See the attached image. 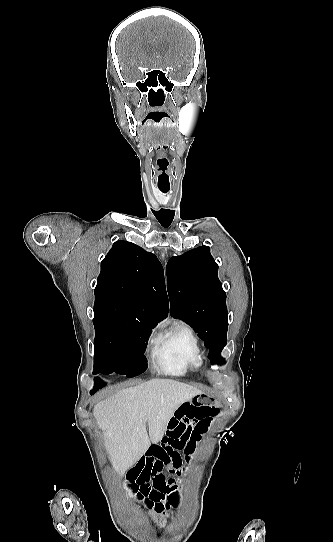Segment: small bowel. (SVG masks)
<instances>
[{
	"label": "small bowel",
	"mask_w": 333,
	"mask_h": 542,
	"mask_svg": "<svg viewBox=\"0 0 333 542\" xmlns=\"http://www.w3.org/2000/svg\"><path fill=\"white\" fill-rule=\"evenodd\" d=\"M174 416L169 420L166 434L161 444L151 445L125 475L134 483L135 501L149 515L165 525L163 517L168 512L167 503L175 496L178 479L167 477L163 469L182 473L181 456L187 461L195 454L202 437L210 428V420L221 417V412L195 400H186L174 408ZM172 517L170 514L167 516Z\"/></svg>",
	"instance_id": "small-bowel-1"
}]
</instances>
